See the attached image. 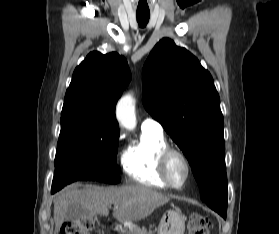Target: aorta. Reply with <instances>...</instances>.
I'll list each match as a JSON object with an SVG mask.
<instances>
[{"instance_id":"aorta-1","label":"aorta","mask_w":279,"mask_h":234,"mask_svg":"<svg viewBox=\"0 0 279 234\" xmlns=\"http://www.w3.org/2000/svg\"><path fill=\"white\" fill-rule=\"evenodd\" d=\"M116 116L120 125L128 130L136 127L135 99L132 94H126L118 101Z\"/></svg>"}]
</instances>
